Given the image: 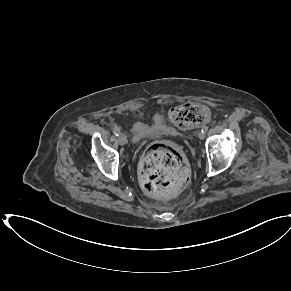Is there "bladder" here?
I'll list each match as a JSON object with an SVG mask.
<instances>
[{
	"mask_svg": "<svg viewBox=\"0 0 291 291\" xmlns=\"http://www.w3.org/2000/svg\"><path fill=\"white\" fill-rule=\"evenodd\" d=\"M132 132L138 140H142L156 134H170L174 130L166 123L161 115H155L150 123H134Z\"/></svg>",
	"mask_w": 291,
	"mask_h": 291,
	"instance_id": "bladder-1",
	"label": "bladder"
}]
</instances>
